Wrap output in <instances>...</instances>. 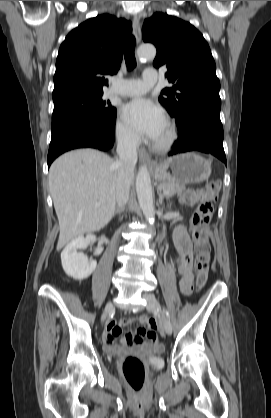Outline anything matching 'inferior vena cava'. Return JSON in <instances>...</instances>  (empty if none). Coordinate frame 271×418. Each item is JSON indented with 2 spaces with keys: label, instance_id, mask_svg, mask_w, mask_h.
<instances>
[{
  "label": "inferior vena cava",
  "instance_id": "inferior-vena-cava-1",
  "mask_svg": "<svg viewBox=\"0 0 271 418\" xmlns=\"http://www.w3.org/2000/svg\"><path fill=\"white\" fill-rule=\"evenodd\" d=\"M137 136H131L120 142L117 146L119 160L116 179V201L118 207H124L129 198L131 178L137 162Z\"/></svg>",
  "mask_w": 271,
  "mask_h": 418
}]
</instances>
